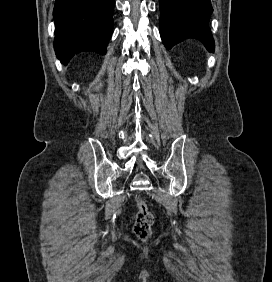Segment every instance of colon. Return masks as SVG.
Listing matches in <instances>:
<instances>
[{
	"label": "colon",
	"instance_id": "1",
	"mask_svg": "<svg viewBox=\"0 0 272 282\" xmlns=\"http://www.w3.org/2000/svg\"><path fill=\"white\" fill-rule=\"evenodd\" d=\"M135 220L133 224V230L135 235L139 239H146L150 235L151 228L154 222V216L149 209L148 204L146 201L140 197H135Z\"/></svg>",
	"mask_w": 272,
	"mask_h": 282
}]
</instances>
